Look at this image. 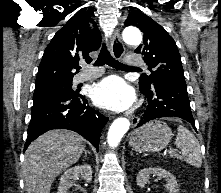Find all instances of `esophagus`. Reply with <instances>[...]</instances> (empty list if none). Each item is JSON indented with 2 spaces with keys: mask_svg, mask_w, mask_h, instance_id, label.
<instances>
[{
  "mask_svg": "<svg viewBox=\"0 0 221 193\" xmlns=\"http://www.w3.org/2000/svg\"><path fill=\"white\" fill-rule=\"evenodd\" d=\"M124 53V46L120 37L118 29H115L111 37V54L114 58L120 59ZM131 124L133 126L137 125L139 118L133 115L129 116Z\"/></svg>",
  "mask_w": 221,
  "mask_h": 193,
  "instance_id": "1",
  "label": "esophagus"
}]
</instances>
